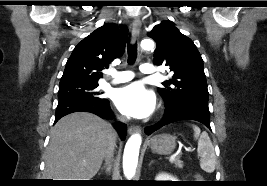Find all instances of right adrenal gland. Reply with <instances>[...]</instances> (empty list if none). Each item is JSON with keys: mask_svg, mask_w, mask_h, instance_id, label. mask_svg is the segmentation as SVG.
<instances>
[{"mask_svg": "<svg viewBox=\"0 0 267 186\" xmlns=\"http://www.w3.org/2000/svg\"><path fill=\"white\" fill-rule=\"evenodd\" d=\"M111 169H112L111 159H107L106 163L101 167V170H105L107 174H110Z\"/></svg>", "mask_w": 267, "mask_h": 186, "instance_id": "right-adrenal-gland-1", "label": "right adrenal gland"}]
</instances>
